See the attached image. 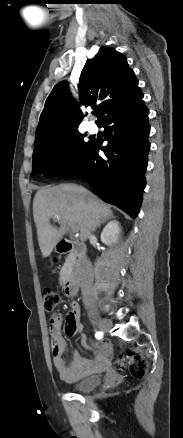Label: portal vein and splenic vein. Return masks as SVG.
<instances>
[{
  "label": "portal vein and splenic vein",
  "instance_id": "portal-vein-and-splenic-vein-1",
  "mask_svg": "<svg viewBox=\"0 0 183 438\" xmlns=\"http://www.w3.org/2000/svg\"><path fill=\"white\" fill-rule=\"evenodd\" d=\"M55 218H56V219H59L58 216H56ZM71 227H72V229H73L74 232L77 230L75 226L71 225Z\"/></svg>",
  "mask_w": 183,
  "mask_h": 438
}]
</instances>
